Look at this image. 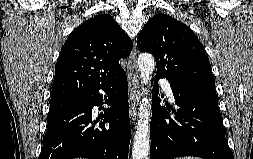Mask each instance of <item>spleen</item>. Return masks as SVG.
I'll return each mask as SVG.
<instances>
[{"label": "spleen", "mask_w": 253, "mask_h": 159, "mask_svg": "<svg viewBox=\"0 0 253 159\" xmlns=\"http://www.w3.org/2000/svg\"><path fill=\"white\" fill-rule=\"evenodd\" d=\"M176 159H199V158L188 156V157L176 158Z\"/></svg>", "instance_id": "obj_1"}]
</instances>
